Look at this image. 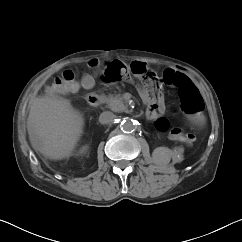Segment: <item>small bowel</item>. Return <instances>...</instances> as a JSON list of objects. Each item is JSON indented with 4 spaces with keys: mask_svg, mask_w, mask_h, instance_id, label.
<instances>
[{
    "mask_svg": "<svg viewBox=\"0 0 242 242\" xmlns=\"http://www.w3.org/2000/svg\"><path fill=\"white\" fill-rule=\"evenodd\" d=\"M138 63H142V62H138ZM119 64L121 65L122 68H126L127 67L125 64H123L121 62H119ZM168 70L169 71L176 72L174 69H171V68L167 69L166 71H168ZM93 85H94V78L93 77L86 76V77H84L82 79V86L83 87H85V88H91ZM142 95L144 97H146V98L148 97L144 90H142ZM152 109H153V112L154 113L160 112L162 110V104L160 102H158V103L154 104V106H153ZM187 119L195 127H198L201 124V117L199 115H190V116L187 117ZM191 137H192L191 134L185 133V135H183L181 137V141L189 144V143H191V140H190Z\"/></svg>",
    "mask_w": 242,
    "mask_h": 242,
    "instance_id": "1",
    "label": "small bowel"
}]
</instances>
